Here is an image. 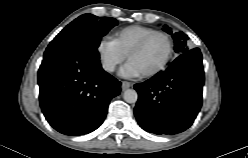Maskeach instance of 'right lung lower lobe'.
Here are the masks:
<instances>
[{
  "instance_id": "1",
  "label": "right lung lower lobe",
  "mask_w": 248,
  "mask_h": 158,
  "mask_svg": "<svg viewBox=\"0 0 248 158\" xmlns=\"http://www.w3.org/2000/svg\"><path fill=\"white\" fill-rule=\"evenodd\" d=\"M97 49L49 44L38 71L39 101L49 124L66 135H83L104 121L121 83L105 72Z\"/></svg>"
}]
</instances>
